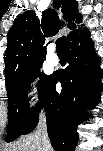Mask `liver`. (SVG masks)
Returning a JSON list of instances; mask_svg holds the SVG:
<instances>
[{
  "label": "liver",
  "mask_w": 103,
  "mask_h": 151,
  "mask_svg": "<svg viewBox=\"0 0 103 151\" xmlns=\"http://www.w3.org/2000/svg\"><path fill=\"white\" fill-rule=\"evenodd\" d=\"M5 151H52L50 143L43 145L42 136L37 132L27 135L15 144L6 148Z\"/></svg>",
  "instance_id": "obj_1"
}]
</instances>
